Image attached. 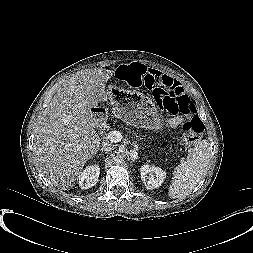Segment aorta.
Returning <instances> with one entry per match:
<instances>
[{
	"instance_id": "1",
	"label": "aorta",
	"mask_w": 253,
	"mask_h": 253,
	"mask_svg": "<svg viewBox=\"0 0 253 253\" xmlns=\"http://www.w3.org/2000/svg\"><path fill=\"white\" fill-rule=\"evenodd\" d=\"M114 162H115L116 164L122 163V162H123V157H122L121 155L115 156V157H114Z\"/></svg>"
}]
</instances>
